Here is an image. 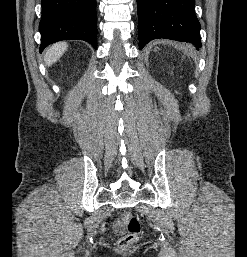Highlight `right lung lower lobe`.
Instances as JSON below:
<instances>
[{
  "label": "right lung lower lobe",
  "mask_w": 247,
  "mask_h": 257,
  "mask_svg": "<svg viewBox=\"0 0 247 257\" xmlns=\"http://www.w3.org/2000/svg\"><path fill=\"white\" fill-rule=\"evenodd\" d=\"M40 52L61 40L78 39L97 49L96 0H41Z\"/></svg>",
  "instance_id": "1"
}]
</instances>
